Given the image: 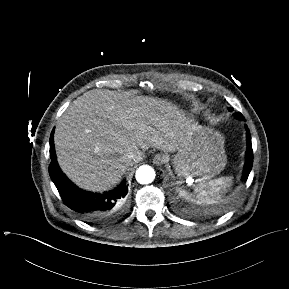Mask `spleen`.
Here are the masks:
<instances>
[{
  "instance_id": "1",
  "label": "spleen",
  "mask_w": 289,
  "mask_h": 289,
  "mask_svg": "<svg viewBox=\"0 0 289 289\" xmlns=\"http://www.w3.org/2000/svg\"><path fill=\"white\" fill-rule=\"evenodd\" d=\"M199 183L195 187V192L198 193V197L201 200L209 199H221L223 193H225L232 185V177H220L210 181L204 179H198Z\"/></svg>"
}]
</instances>
